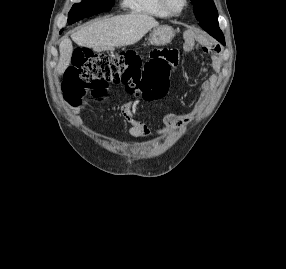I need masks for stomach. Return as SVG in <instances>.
I'll return each mask as SVG.
<instances>
[{
	"instance_id": "0dacf381",
	"label": "stomach",
	"mask_w": 286,
	"mask_h": 269,
	"mask_svg": "<svg viewBox=\"0 0 286 269\" xmlns=\"http://www.w3.org/2000/svg\"><path fill=\"white\" fill-rule=\"evenodd\" d=\"M174 35L175 33L172 27L167 25L158 26L152 30L149 36V42L156 46L165 45L173 39Z\"/></svg>"
}]
</instances>
